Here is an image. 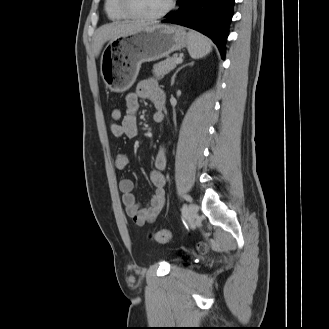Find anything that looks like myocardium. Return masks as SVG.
<instances>
[{"instance_id": "obj_1", "label": "myocardium", "mask_w": 329, "mask_h": 329, "mask_svg": "<svg viewBox=\"0 0 329 329\" xmlns=\"http://www.w3.org/2000/svg\"><path fill=\"white\" fill-rule=\"evenodd\" d=\"M118 4L122 12L133 20L141 21V22H154L162 19L166 15H168L175 6V0H169L166 7L159 13L151 16H145L134 11L130 6L129 0H118Z\"/></svg>"}]
</instances>
